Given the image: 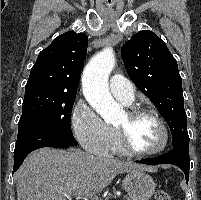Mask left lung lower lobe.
Segmentation results:
<instances>
[{"label":"left lung lower lobe","instance_id":"1","mask_svg":"<svg viewBox=\"0 0 201 200\" xmlns=\"http://www.w3.org/2000/svg\"><path fill=\"white\" fill-rule=\"evenodd\" d=\"M138 163L148 164V165H158V164H173L181 168L186 177V183L189 180V143H182L178 146L173 147V149L167 154L151 159H144L137 161Z\"/></svg>","mask_w":201,"mask_h":200}]
</instances>
